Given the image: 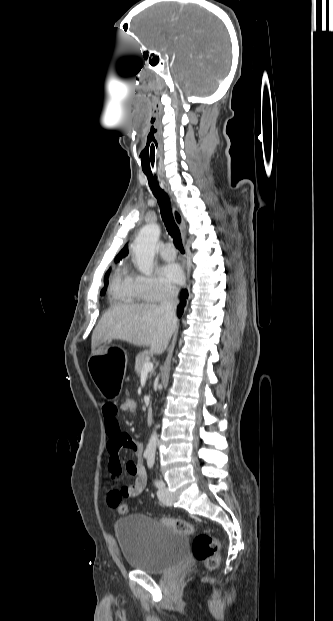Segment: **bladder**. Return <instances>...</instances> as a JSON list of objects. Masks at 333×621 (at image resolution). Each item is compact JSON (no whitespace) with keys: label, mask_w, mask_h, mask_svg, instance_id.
<instances>
[{"label":"bladder","mask_w":333,"mask_h":621,"mask_svg":"<svg viewBox=\"0 0 333 621\" xmlns=\"http://www.w3.org/2000/svg\"><path fill=\"white\" fill-rule=\"evenodd\" d=\"M115 533L126 564L151 575L170 572L189 551L187 535L143 514L117 520Z\"/></svg>","instance_id":"bladder-1"}]
</instances>
